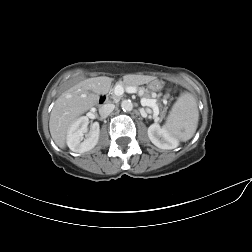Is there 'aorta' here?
Returning <instances> with one entry per match:
<instances>
[{
    "label": "aorta",
    "instance_id": "aorta-1",
    "mask_svg": "<svg viewBox=\"0 0 252 252\" xmlns=\"http://www.w3.org/2000/svg\"><path fill=\"white\" fill-rule=\"evenodd\" d=\"M121 107L123 111H132L133 109V103L130 100H123L121 102Z\"/></svg>",
    "mask_w": 252,
    "mask_h": 252
}]
</instances>
